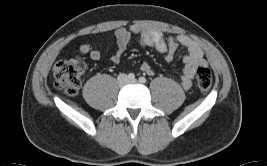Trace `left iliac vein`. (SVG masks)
I'll list each match as a JSON object with an SVG mask.
<instances>
[{
    "instance_id": "left-iliac-vein-1",
    "label": "left iliac vein",
    "mask_w": 267,
    "mask_h": 166,
    "mask_svg": "<svg viewBox=\"0 0 267 166\" xmlns=\"http://www.w3.org/2000/svg\"><path fill=\"white\" fill-rule=\"evenodd\" d=\"M128 82L131 83V84H136L137 83V80L136 79H133V80H129Z\"/></svg>"
}]
</instances>
